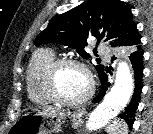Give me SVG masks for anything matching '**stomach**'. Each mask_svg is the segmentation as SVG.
Listing matches in <instances>:
<instances>
[{"mask_svg": "<svg viewBox=\"0 0 153 134\" xmlns=\"http://www.w3.org/2000/svg\"><path fill=\"white\" fill-rule=\"evenodd\" d=\"M85 110L73 113L52 114L47 110H32L22 115L11 127V134H56L61 130L66 116H70L73 127L78 128L83 122Z\"/></svg>", "mask_w": 153, "mask_h": 134, "instance_id": "stomach-1", "label": "stomach"}]
</instances>
